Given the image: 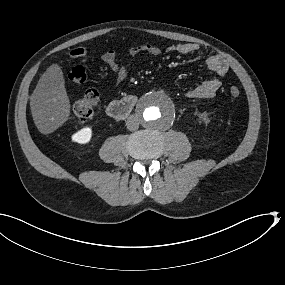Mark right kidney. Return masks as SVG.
<instances>
[{"instance_id":"1","label":"right kidney","mask_w":285,"mask_h":285,"mask_svg":"<svg viewBox=\"0 0 285 285\" xmlns=\"http://www.w3.org/2000/svg\"><path fill=\"white\" fill-rule=\"evenodd\" d=\"M93 137V130L91 127H83L76 132H74L70 139L72 142L77 143L79 145L88 144Z\"/></svg>"}]
</instances>
